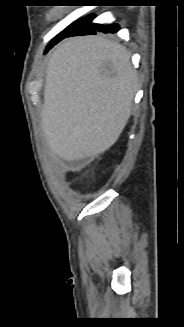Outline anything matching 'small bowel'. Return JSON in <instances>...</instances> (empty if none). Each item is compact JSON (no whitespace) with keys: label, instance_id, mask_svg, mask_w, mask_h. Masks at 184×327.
<instances>
[{"label":"small bowel","instance_id":"obj_1","mask_svg":"<svg viewBox=\"0 0 184 327\" xmlns=\"http://www.w3.org/2000/svg\"><path fill=\"white\" fill-rule=\"evenodd\" d=\"M69 170H71V169H69ZM64 172V170H61V173H63Z\"/></svg>","mask_w":184,"mask_h":327}]
</instances>
